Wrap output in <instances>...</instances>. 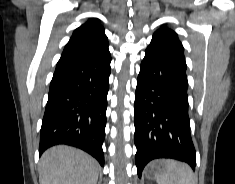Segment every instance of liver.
<instances>
[{
	"mask_svg": "<svg viewBox=\"0 0 235 184\" xmlns=\"http://www.w3.org/2000/svg\"><path fill=\"white\" fill-rule=\"evenodd\" d=\"M98 176V162L70 146H53L40 160V184H97Z\"/></svg>",
	"mask_w": 235,
	"mask_h": 184,
	"instance_id": "liver-1",
	"label": "liver"
}]
</instances>
